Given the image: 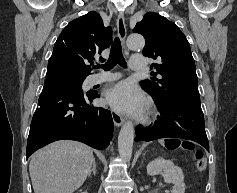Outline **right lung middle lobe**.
<instances>
[{
	"label": "right lung middle lobe",
	"instance_id": "obj_1",
	"mask_svg": "<svg viewBox=\"0 0 237 193\" xmlns=\"http://www.w3.org/2000/svg\"><path fill=\"white\" fill-rule=\"evenodd\" d=\"M46 76L47 79L44 85H47L48 83H60L66 87H69L73 90L83 93L82 83L85 78L74 77L57 70L47 71Z\"/></svg>",
	"mask_w": 237,
	"mask_h": 193
}]
</instances>
